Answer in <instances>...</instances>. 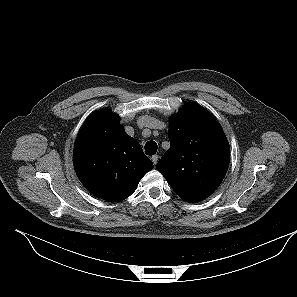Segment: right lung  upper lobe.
Here are the masks:
<instances>
[{
  "mask_svg": "<svg viewBox=\"0 0 297 297\" xmlns=\"http://www.w3.org/2000/svg\"><path fill=\"white\" fill-rule=\"evenodd\" d=\"M73 164L86 189L109 201L129 197L153 168L140 144L120 125L119 117L107 110L95 111L83 124Z\"/></svg>",
  "mask_w": 297,
  "mask_h": 297,
  "instance_id": "obj_1",
  "label": "right lung upper lobe"
}]
</instances>
